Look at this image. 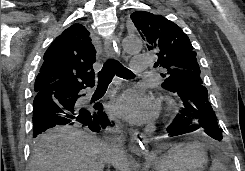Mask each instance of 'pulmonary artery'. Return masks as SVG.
Here are the masks:
<instances>
[{"label": "pulmonary artery", "mask_w": 245, "mask_h": 171, "mask_svg": "<svg viewBox=\"0 0 245 171\" xmlns=\"http://www.w3.org/2000/svg\"><path fill=\"white\" fill-rule=\"evenodd\" d=\"M149 58L143 55H136L132 59V69L135 72H144L147 68Z\"/></svg>", "instance_id": "1"}]
</instances>
